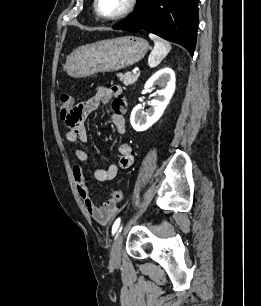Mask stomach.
I'll use <instances>...</instances> for the list:
<instances>
[{
  "label": "stomach",
  "instance_id": "0dacf381",
  "mask_svg": "<svg viewBox=\"0 0 261 306\" xmlns=\"http://www.w3.org/2000/svg\"><path fill=\"white\" fill-rule=\"evenodd\" d=\"M148 48V42L136 36L102 40L74 50L64 69L75 78L118 71L140 61Z\"/></svg>",
  "mask_w": 261,
  "mask_h": 306
}]
</instances>
